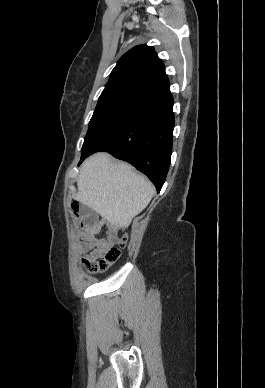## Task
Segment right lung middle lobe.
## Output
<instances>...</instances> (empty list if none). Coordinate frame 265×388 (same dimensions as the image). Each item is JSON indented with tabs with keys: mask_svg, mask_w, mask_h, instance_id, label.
<instances>
[{
	"mask_svg": "<svg viewBox=\"0 0 265 388\" xmlns=\"http://www.w3.org/2000/svg\"><path fill=\"white\" fill-rule=\"evenodd\" d=\"M148 100L127 93H102L89 123L81 157L136 113Z\"/></svg>",
	"mask_w": 265,
	"mask_h": 388,
	"instance_id": "dd1d6c3e",
	"label": "right lung middle lobe"
}]
</instances>
